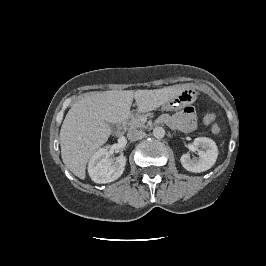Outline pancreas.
I'll list each match as a JSON object with an SVG mask.
<instances>
[{"label":"pancreas","instance_id":"1","mask_svg":"<svg viewBox=\"0 0 266 266\" xmlns=\"http://www.w3.org/2000/svg\"><path fill=\"white\" fill-rule=\"evenodd\" d=\"M146 118L144 114H138L131 118L129 121L130 129H137V128H146L143 119Z\"/></svg>","mask_w":266,"mask_h":266}]
</instances>
